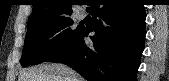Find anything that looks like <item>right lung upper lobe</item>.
I'll return each mask as SVG.
<instances>
[{
	"instance_id": "1",
	"label": "right lung upper lobe",
	"mask_w": 169,
	"mask_h": 81,
	"mask_svg": "<svg viewBox=\"0 0 169 81\" xmlns=\"http://www.w3.org/2000/svg\"><path fill=\"white\" fill-rule=\"evenodd\" d=\"M74 0H34L33 12L28 24L58 17L69 16L72 13ZM88 8V10H90Z\"/></svg>"
}]
</instances>
